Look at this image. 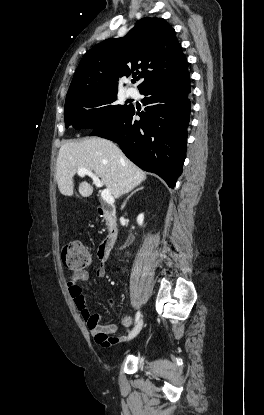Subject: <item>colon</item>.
<instances>
[{"label":"colon","mask_w":264,"mask_h":415,"mask_svg":"<svg viewBox=\"0 0 264 415\" xmlns=\"http://www.w3.org/2000/svg\"><path fill=\"white\" fill-rule=\"evenodd\" d=\"M61 262L65 269L72 271L89 266L91 256L80 242H69L62 250Z\"/></svg>","instance_id":"obj_1"}]
</instances>
